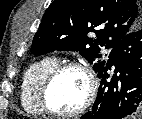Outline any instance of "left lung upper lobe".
I'll return each mask as SVG.
<instances>
[{"mask_svg": "<svg viewBox=\"0 0 142 119\" xmlns=\"http://www.w3.org/2000/svg\"><path fill=\"white\" fill-rule=\"evenodd\" d=\"M142 26L138 0H54L45 11L31 46L33 54L54 50L77 51L93 70L105 64L99 46L114 48L128 33ZM94 32L96 38L88 37Z\"/></svg>", "mask_w": 142, "mask_h": 119, "instance_id": "1", "label": "left lung upper lobe"}]
</instances>
